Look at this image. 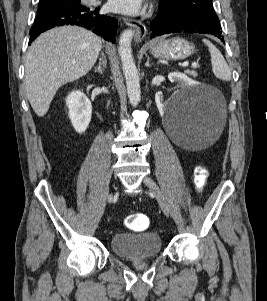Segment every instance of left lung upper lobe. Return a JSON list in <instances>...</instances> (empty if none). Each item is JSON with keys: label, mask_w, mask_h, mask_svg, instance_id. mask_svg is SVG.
Listing matches in <instances>:
<instances>
[{"label": "left lung upper lobe", "mask_w": 267, "mask_h": 301, "mask_svg": "<svg viewBox=\"0 0 267 301\" xmlns=\"http://www.w3.org/2000/svg\"><path fill=\"white\" fill-rule=\"evenodd\" d=\"M159 12L173 17L192 16L220 27L212 0H160Z\"/></svg>", "instance_id": "left-lung-upper-lobe-1"}]
</instances>
